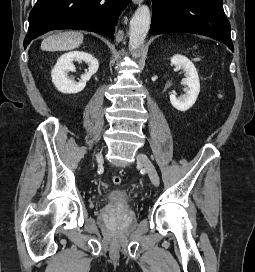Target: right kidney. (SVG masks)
<instances>
[{
	"label": "right kidney",
	"mask_w": 255,
	"mask_h": 272,
	"mask_svg": "<svg viewBox=\"0 0 255 272\" xmlns=\"http://www.w3.org/2000/svg\"><path fill=\"white\" fill-rule=\"evenodd\" d=\"M73 61H84L88 65V72L81 76L78 83L70 79L67 75L69 71H75ZM98 67V60L91 54L83 51L68 52L63 54L54 66L51 72L52 82L57 90L62 93H78L85 88L87 81L97 72Z\"/></svg>",
	"instance_id": "obj_1"
}]
</instances>
